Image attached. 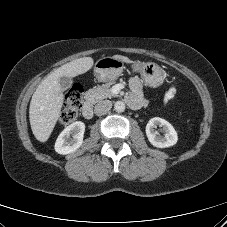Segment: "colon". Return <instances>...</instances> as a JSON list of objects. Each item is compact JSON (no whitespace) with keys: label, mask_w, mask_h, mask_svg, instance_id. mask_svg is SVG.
<instances>
[{"label":"colon","mask_w":227,"mask_h":227,"mask_svg":"<svg viewBox=\"0 0 227 227\" xmlns=\"http://www.w3.org/2000/svg\"><path fill=\"white\" fill-rule=\"evenodd\" d=\"M83 104V88L79 84L73 85L66 93L64 108L60 116V124L65 126L72 123L78 116Z\"/></svg>","instance_id":"5ec220e1"}]
</instances>
